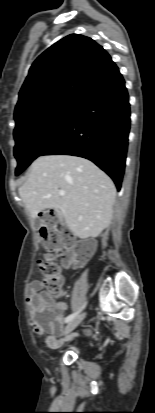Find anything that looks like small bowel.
<instances>
[{"instance_id":"small-bowel-1","label":"small bowel","mask_w":155,"mask_h":413,"mask_svg":"<svg viewBox=\"0 0 155 413\" xmlns=\"http://www.w3.org/2000/svg\"><path fill=\"white\" fill-rule=\"evenodd\" d=\"M39 297H43L44 300L40 301ZM26 301L30 309L33 329L39 337L44 338L47 347L59 348L76 336V334L71 336L64 334L67 304L65 302L52 303L51 297L44 291V285L40 280L29 284ZM48 309L53 310V315L44 324L40 321L39 315Z\"/></svg>"}]
</instances>
